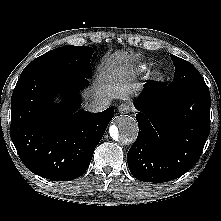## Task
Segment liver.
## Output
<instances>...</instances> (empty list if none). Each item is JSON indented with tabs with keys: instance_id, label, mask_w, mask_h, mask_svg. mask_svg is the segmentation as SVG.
<instances>
[{
	"instance_id": "6515ba94",
	"label": "liver",
	"mask_w": 221,
	"mask_h": 221,
	"mask_svg": "<svg viewBox=\"0 0 221 221\" xmlns=\"http://www.w3.org/2000/svg\"><path fill=\"white\" fill-rule=\"evenodd\" d=\"M134 78L135 69L130 63V56L126 52H115L107 59L93 87L84 93L86 100L84 107L88 109V102L92 99L130 101V97L140 89V85L133 82Z\"/></svg>"
}]
</instances>
